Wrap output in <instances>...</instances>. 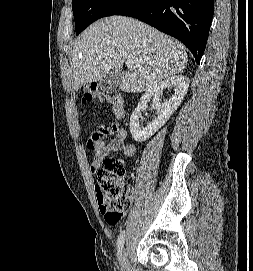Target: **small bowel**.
<instances>
[{
    "label": "small bowel",
    "mask_w": 253,
    "mask_h": 271,
    "mask_svg": "<svg viewBox=\"0 0 253 271\" xmlns=\"http://www.w3.org/2000/svg\"><path fill=\"white\" fill-rule=\"evenodd\" d=\"M109 135L114 137L108 142L105 138ZM129 135L119 123H113L110 126L99 125L93 130L87 139L86 145L93 152V159L90 164L91 173H97L104 157L122 152L126 157H132L136 153L134 144H125Z\"/></svg>",
    "instance_id": "small-bowel-1"
}]
</instances>
